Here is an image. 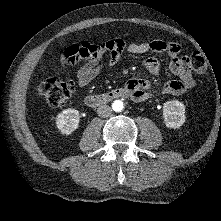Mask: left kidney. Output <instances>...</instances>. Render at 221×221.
I'll return each mask as SVG.
<instances>
[{
  "label": "left kidney",
  "instance_id": "5707ae66",
  "mask_svg": "<svg viewBox=\"0 0 221 221\" xmlns=\"http://www.w3.org/2000/svg\"><path fill=\"white\" fill-rule=\"evenodd\" d=\"M164 123L168 128H179L185 122V106L178 100L167 101L163 105Z\"/></svg>",
  "mask_w": 221,
  "mask_h": 221
}]
</instances>
